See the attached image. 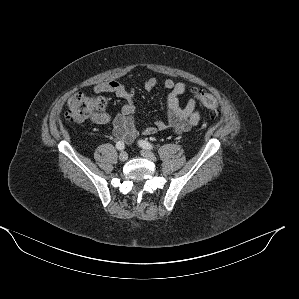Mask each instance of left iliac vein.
I'll return each instance as SVG.
<instances>
[{
	"label": "left iliac vein",
	"instance_id": "obj_1",
	"mask_svg": "<svg viewBox=\"0 0 299 299\" xmlns=\"http://www.w3.org/2000/svg\"><path fill=\"white\" fill-rule=\"evenodd\" d=\"M140 154L142 157H144L152 162L156 161V156L148 150H141Z\"/></svg>",
	"mask_w": 299,
	"mask_h": 299
}]
</instances>
